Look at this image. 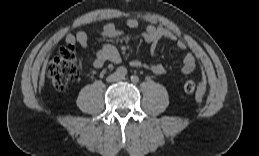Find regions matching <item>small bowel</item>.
I'll return each mask as SVG.
<instances>
[{
  "mask_svg": "<svg viewBox=\"0 0 259 156\" xmlns=\"http://www.w3.org/2000/svg\"><path fill=\"white\" fill-rule=\"evenodd\" d=\"M126 25L131 29H136L139 26V22L135 18H128L126 20ZM96 35L105 38V39H116L123 36V32L112 23H108L104 25L101 29L96 31ZM143 38L146 42L150 44L151 54L154 55L158 43L162 39H168L172 41H176L177 47L179 49H185L186 43L183 40H178L176 35L172 33L170 30L164 27H157L154 25H148L143 32ZM67 45L74 46L75 44H79L83 48L88 46V35L85 31H78L75 34H68L65 38ZM121 61V55L118 49L110 44L102 45L97 51L95 55V59L92 62V66L94 68H102L107 62H111L114 64H118ZM130 65L134 68H144L156 75L164 74L166 68L163 64L158 62L153 63H144L139 60L131 61ZM196 65L195 57L192 53H187L184 56L183 63L181 66L182 74H190L194 71Z\"/></svg>",
  "mask_w": 259,
  "mask_h": 156,
  "instance_id": "obj_1",
  "label": "small bowel"
}]
</instances>
